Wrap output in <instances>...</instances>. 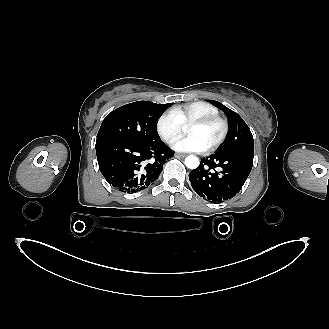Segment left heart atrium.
Instances as JSON below:
<instances>
[{"mask_svg":"<svg viewBox=\"0 0 329 329\" xmlns=\"http://www.w3.org/2000/svg\"><path fill=\"white\" fill-rule=\"evenodd\" d=\"M173 148L183 152H202L206 150L204 143L196 135H188L177 140Z\"/></svg>","mask_w":329,"mask_h":329,"instance_id":"39dd6f15","label":"left heart atrium"}]
</instances>
